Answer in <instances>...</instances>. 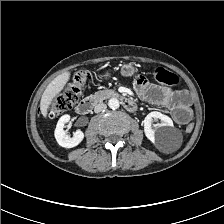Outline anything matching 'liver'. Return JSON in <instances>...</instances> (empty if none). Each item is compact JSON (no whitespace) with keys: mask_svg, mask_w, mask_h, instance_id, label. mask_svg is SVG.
<instances>
[{"mask_svg":"<svg viewBox=\"0 0 224 224\" xmlns=\"http://www.w3.org/2000/svg\"><path fill=\"white\" fill-rule=\"evenodd\" d=\"M70 75V72H65L54 78L46 87L40 102L41 112L44 117H47L50 104L56 95H58L63 90L66 83L70 79Z\"/></svg>","mask_w":224,"mask_h":224,"instance_id":"1","label":"liver"}]
</instances>
